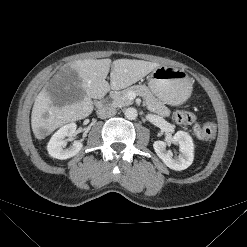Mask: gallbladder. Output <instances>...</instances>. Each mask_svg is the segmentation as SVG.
Masks as SVG:
<instances>
[{
	"mask_svg": "<svg viewBox=\"0 0 247 247\" xmlns=\"http://www.w3.org/2000/svg\"><path fill=\"white\" fill-rule=\"evenodd\" d=\"M80 83L78 74L69 69H61L47 84L46 91L56 105L71 103L76 94L82 92L78 88Z\"/></svg>",
	"mask_w": 247,
	"mask_h": 247,
	"instance_id": "bac80fb5",
	"label": "gallbladder"
}]
</instances>
